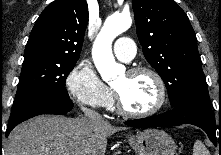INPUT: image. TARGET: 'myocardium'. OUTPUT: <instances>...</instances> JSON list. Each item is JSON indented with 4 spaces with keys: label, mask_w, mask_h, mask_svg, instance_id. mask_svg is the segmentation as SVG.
<instances>
[{
    "label": "myocardium",
    "mask_w": 221,
    "mask_h": 155,
    "mask_svg": "<svg viewBox=\"0 0 221 155\" xmlns=\"http://www.w3.org/2000/svg\"><path fill=\"white\" fill-rule=\"evenodd\" d=\"M127 74L131 76L138 75V74L151 75L156 81V84L158 87V92H159L158 102L152 109L148 111L134 112V111L129 110L125 106L121 95L115 88H113V95H114V100H115V105H116L117 110L124 116L132 117V118H146V117H151L157 114L163 108L167 99L166 85L161 75L156 70L150 67H145V66L130 68L129 70H127Z\"/></svg>",
    "instance_id": "f54148a6"
}]
</instances>
